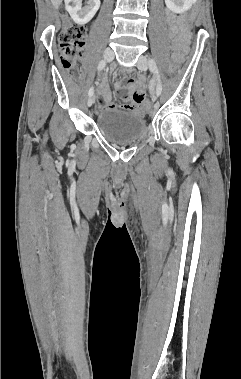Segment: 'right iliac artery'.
<instances>
[{
    "instance_id": "82829eb1",
    "label": "right iliac artery",
    "mask_w": 241,
    "mask_h": 379,
    "mask_svg": "<svg viewBox=\"0 0 241 379\" xmlns=\"http://www.w3.org/2000/svg\"><path fill=\"white\" fill-rule=\"evenodd\" d=\"M105 66H106V62L103 61V60L100 61L99 64H98V67H97L98 72H100L101 70H103V69L105 68ZM93 94H94V87L92 86V87L89 89L88 95H89V97H91V96H93Z\"/></svg>"
}]
</instances>
